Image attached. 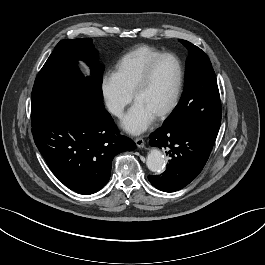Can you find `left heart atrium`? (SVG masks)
<instances>
[{"mask_svg": "<svg viewBox=\"0 0 265 265\" xmlns=\"http://www.w3.org/2000/svg\"><path fill=\"white\" fill-rule=\"evenodd\" d=\"M154 116L142 106L134 104L122 120L123 128L131 134L144 132L154 121Z\"/></svg>", "mask_w": 265, "mask_h": 265, "instance_id": "obj_1", "label": "left heart atrium"}]
</instances>
